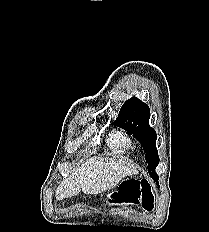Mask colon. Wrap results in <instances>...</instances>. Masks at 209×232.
Returning a JSON list of instances; mask_svg holds the SVG:
<instances>
[{"label": "colon", "instance_id": "colon-1", "mask_svg": "<svg viewBox=\"0 0 209 232\" xmlns=\"http://www.w3.org/2000/svg\"><path fill=\"white\" fill-rule=\"evenodd\" d=\"M109 198H118L119 202L139 205L146 211L154 208L153 187L147 179L128 181L122 186L119 193H107L104 201L108 202Z\"/></svg>", "mask_w": 209, "mask_h": 232}]
</instances>
